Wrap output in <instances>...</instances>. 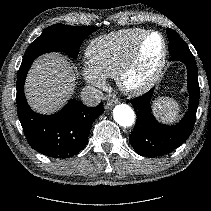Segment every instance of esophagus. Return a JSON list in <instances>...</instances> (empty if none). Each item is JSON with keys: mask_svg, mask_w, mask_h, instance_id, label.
Instances as JSON below:
<instances>
[{"mask_svg": "<svg viewBox=\"0 0 211 211\" xmlns=\"http://www.w3.org/2000/svg\"><path fill=\"white\" fill-rule=\"evenodd\" d=\"M117 102H118V100H113V99L112 100H109V101L106 102L105 108L109 109L112 106H114Z\"/></svg>", "mask_w": 211, "mask_h": 211, "instance_id": "1", "label": "esophagus"}]
</instances>
